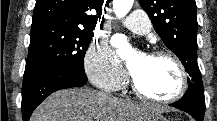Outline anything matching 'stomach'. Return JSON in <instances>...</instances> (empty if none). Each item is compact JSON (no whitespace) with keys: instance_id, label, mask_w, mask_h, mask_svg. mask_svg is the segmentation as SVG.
I'll return each mask as SVG.
<instances>
[{"instance_id":"1","label":"stomach","mask_w":217,"mask_h":121,"mask_svg":"<svg viewBox=\"0 0 217 121\" xmlns=\"http://www.w3.org/2000/svg\"><path fill=\"white\" fill-rule=\"evenodd\" d=\"M148 121H167L166 118H164L162 115L157 114V115H152Z\"/></svg>"}]
</instances>
